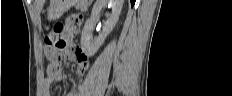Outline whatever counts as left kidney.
<instances>
[{"instance_id": "left-kidney-1", "label": "left kidney", "mask_w": 232, "mask_h": 96, "mask_svg": "<svg viewBox=\"0 0 232 96\" xmlns=\"http://www.w3.org/2000/svg\"><path fill=\"white\" fill-rule=\"evenodd\" d=\"M124 0H97L93 6L91 17L86 21L81 35V47L83 52L91 57L104 43L107 35L113 30L116 23L118 22ZM111 5L112 12L107 16V21L103 26L102 33L97 37L93 38V28L96 20L98 19L102 8L106 4Z\"/></svg>"}]
</instances>
